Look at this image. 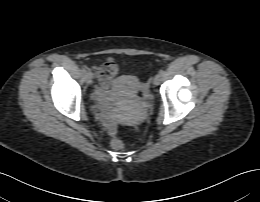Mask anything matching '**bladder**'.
<instances>
[{"label": "bladder", "instance_id": "obj_1", "mask_svg": "<svg viewBox=\"0 0 260 202\" xmlns=\"http://www.w3.org/2000/svg\"><path fill=\"white\" fill-rule=\"evenodd\" d=\"M140 81L131 75H121L117 77L111 88L112 94L119 100L126 102L129 112L132 115L141 116L144 109L138 103V92Z\"/></svg>", "mask_w": 260, "mask_h": 202}]
</instances>
